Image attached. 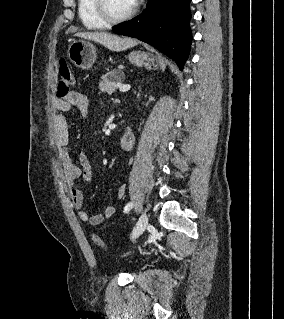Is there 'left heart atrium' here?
Here are the masks:
<instances>
[{"mask_svg":"<svg viewBox=\"0 0 284 319\" xmlns=\"http://www.w3.org/2000/svg\"><path fill=\"white\" fill-rule=\"evenodd\" d=\"M130 1H131L132 5H135L137 0H130Z\"/></svg>","mask_w":284,"mask_h":319,"instance_id":"obj_1","label":"left heart atrium"}]
</instances>
